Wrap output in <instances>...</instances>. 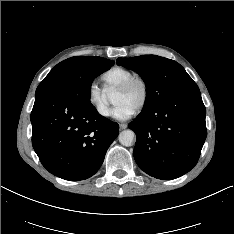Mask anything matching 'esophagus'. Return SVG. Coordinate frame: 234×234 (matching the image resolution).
I'll return each mask as SVG.
<instances>
[{
  "label": "esophagus",
  "instance_id": "34e87169",
  "mask_svg": "<svg viewBox=\"0 0 234 234\" xmlns=\"http://www.w3.org/2000/svg\"><path fill=\"white\" fill-rule=\"evenodd\" d=\"M119 127H120V129H126L127 128V124L126 123H120L119 124Z\"/></svg>",
  "mask_w": 234,
  "mask_h": 234
}]
</instances>
